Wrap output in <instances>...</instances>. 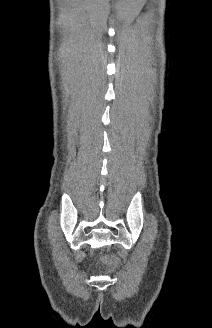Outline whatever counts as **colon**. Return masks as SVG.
Here are the masks:
<instances>
[{
    "mask_svg": "<svg viewBox=\"0 0 212 328\" xmlns=\"http://www.w3.org/2000/svg\"><path fill=\"white\" fill-rule=\"evenodd\" d=\"M103 260L112 266L113 269H117L119 266V261L115 257L112 256H106L103 258Z\"/></svg>",
    "mask_w": 212,
    "mask_h": 328,
    "instance_id": "1",
    "label": "colon"
}]
</instances>
